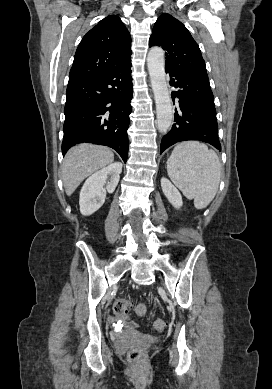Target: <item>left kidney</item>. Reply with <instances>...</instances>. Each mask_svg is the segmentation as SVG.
Masks as SVG:
<instances>
[{"mask_svg":"<svg viewBox=\"0 0 272 389\" xmlns=\"http://www.w3.org/2000/svg\"><path fill=\"white\" fill-rule=\"evenodd\" d=\"M161 187L168 201L176 208L180 209L183 205L182 196L178 189L166 178L161 179Z\"/></svg>","mask_w":272,"mask_h":389,"instance_id":"1","label":"left kidney"}]
</instances>
